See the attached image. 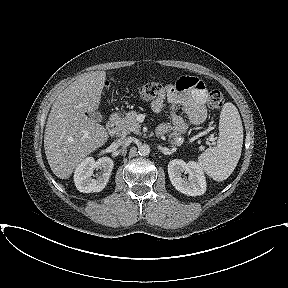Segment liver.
<instances>
[{
	"mask_svg": "<svg viewBox=\"0 0 288 288\" xmlns=\"http://www.w3.org/2000/svg\"><path fill=\"white\" fill-rule=\"evenodd\" d=\"M105 71L82 74L52 105L44 133V149L52 172L67 179L81 161L108 140L104 126L86 113L98 109Z\"/></svg>",
	"mask_w": 288,
	"mask_h": 288,
	"instance_id": "6515ba94",
	"label": "liver"
}]
</instances>
